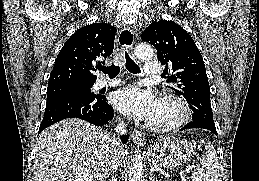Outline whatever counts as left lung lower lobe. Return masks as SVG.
<instances>
[{"instance_id": "1", "label": "left lung lower lobe", "mask_w": 259, "mask_h": 181, "mask_svg": "<svg viewBox=\"0 0 259 181\" xmlns=\"http://www.w3.org/2000/svg\"><path fill=\"white\" fill-rule=\"evenodd\" d=\"M190 128L207 129V130L213 132L215 135H217L215 125L205 123V122H196V121H192V122L188 123L183 128H181L180 131L185 130V129H190Z\"/></svg>"}]
</instances>
